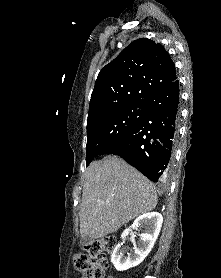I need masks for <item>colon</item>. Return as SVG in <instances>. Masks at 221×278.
<instances>
[{
  "instance_id": "obj_1",
  "label": "colon",
  "mask_w": 221,
  "mask_h": 278,
  "mask_svg": "<svg viewBox=\"0 0 221 278\" xmlns=\"http://www.w3.org/2000/svg\"><path fill=\"white\" fill-rule=\"evenodd\" d=\"M116 245L114 237H105L90 243L87 253L76 254L73 263L83 278H104L108 268L107 253Z\"/></svg>"
}]
</instances>
